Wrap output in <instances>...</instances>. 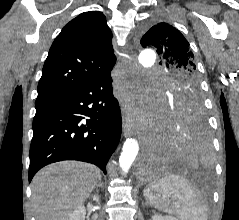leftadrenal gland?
I'll return each mask as SVG.
<instances>
[{"label": "left adrenal gland", "mask_w": 239, "mask_h": 220, "mask_svg": "<svg viewBox=\"0 0 239 220\" xmlns=\"http://www.w3.org/2000/svg\"><path fill=\"white\" fill-rule=\"evenodd\" d=\"M145 196V195H144ZM145 205H149V201L146 199Z\"/></svg>", "instance_id": "a2214340"}]
</instances>
